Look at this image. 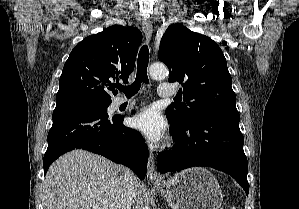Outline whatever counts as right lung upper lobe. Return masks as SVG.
Masks as SVG:
<instances>
[{
	"mask_svg": "<svg viewBox=\"0 0 299 209\" xmlns=\"http://www.w3.org/2000/svg\"><path fill=\"white\" fill-rule=\"evenodd\" d=\"M142 33L133 27L113 25L77 44L59 80L56 104L112 102V82H128Z\"/></svg>",
	"mask_w": 299,
	"mask_h": 209,
	"instance_id": "cb5924a9",
	"label": "right lung upper lobe"
}]
</instances>
